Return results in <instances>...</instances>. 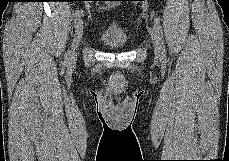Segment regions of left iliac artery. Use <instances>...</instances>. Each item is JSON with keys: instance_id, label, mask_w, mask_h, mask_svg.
<instances>
[{"instance_id": "44dca946", "label": "left iliac artery", "mask_w": 229, "mask_h": 161, "mask_svg": "<svg viewBox=\"0 0 229 161\" xmlns=\"http://www.w3.org/2000/svg\"><path fill=\"white\" fill-rule=\"evenodd\" d=\"M154 27L158 33V37H159V41H160L161 57H162V59H165L166 54H165V45H164V40H163L162 27H161V24H160V21L158 18L154 19Z\"/></svg>"}]
</instances>
